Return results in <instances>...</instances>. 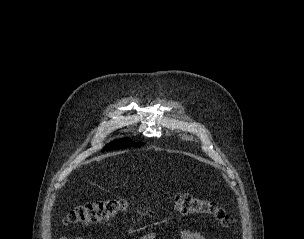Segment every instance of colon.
Listing matches in <instances>:
<instances>
[{
  "mask_svg": "<svg viewBox=\"0 0 304 239\" xmlns=\"http://www.w3.org/2000/svg\"><path fill=\"white\" fill-rule=\"evenodd\" d=\"M175 209L184 215H208L219 224L227 227L230 218L227 212L216 202L196 197L191 194L179 193L173 197ZM127 207V202L119 198L95 200L75 207L66 216V225H91L107 221Z\"/></svg>",
  "mask_w": 304,
  "mask_h": 239,
  "instance_id": "1",
  "label": "colon"
}]
</instances>
